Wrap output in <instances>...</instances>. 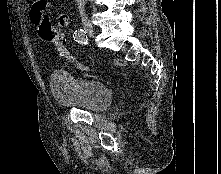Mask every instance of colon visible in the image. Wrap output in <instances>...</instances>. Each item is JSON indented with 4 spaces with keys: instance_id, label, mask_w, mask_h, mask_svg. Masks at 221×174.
Here are the masks:
<instances>
[{
    "instance_id": "obj_1",
    "label": "colon",
    "mask_w": 221,
    "mask_h": 174,
    "mask_svg": "<svg viewBox=\"0 0 221 174\" xmlns=\"http://www.w3.org/2000/svg\"><path fill=\"white\" fill-rule=\"evenodd\" d=\"M39 36L48 42L54 44L57 52L67 58L71 63H73L78 69L83 71H88L89 66L82 63L75 57L71 56L66 48L65 42L62 40V34L59 29L55 28L49 18L45 17L41 21L38 27Z\"/></svg>"
}]
</instances>
